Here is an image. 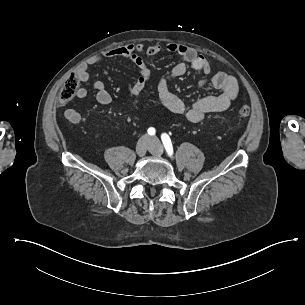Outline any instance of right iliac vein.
I'll return each instance as SVG.
<instances>
[{
  "mask_svg": "<svg viewBox=\"0 0 305 305\" xmlns=\"http://www.w3.org/2000/svg\"><path fill=\"white\" fill-rule=\"evenodd\" d=\"M150 142L147 138H141L136 145V153L139 156H144L148 150H150Z\"/></svg>",
  "mask_w": 305,
  "mask_h": 305,
  "instance_id": "1",
  "label": "right iliac vein"
}]
</instances>
